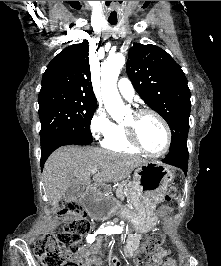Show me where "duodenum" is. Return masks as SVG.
Instances as JSON below:
<instances>
[{
    "instance_id": "duodenum-1",
    "label": "duodenum",
    "mask_w": 221,
    "mask_h": 266,
    "mask_svg": "<svg viewBox=\"0 0 221 266\" xmlns=\"http://www.w3.org/2000/svg\"><path fill=\"white\" fill-rule=\"evenodd\" d=\"M113 191L100 185H91L86 189V194L81 195L80 202L83 206H87L86 213L93 216V219H98V223H108L111 218L110 213L115 209L116 202Z\"/></svg>"
}]
</instances>
